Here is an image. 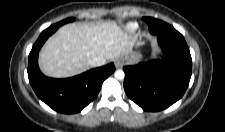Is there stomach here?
Segmentation results:
<instances>
[{
  "label": "stomach",
  "instance_id": "1",
  "mask_svg": "<svg viewBox=\"0 0 225 132\" xmlns=\"http://www.w3.org/2000/svg\"><path fill=\"white\" fill-rule=\"evenodd\" d=\"M140 58H141V55L138 54V53H132V54H129V55L124 57L126 63H130V64L139 61Z\"/></svg>",
  "mask_w": 225,
  "mask_h": 132
}]
</instances>
